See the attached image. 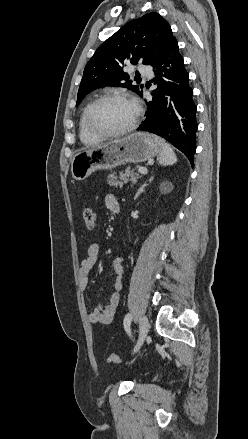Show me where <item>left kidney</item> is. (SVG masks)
Instances as JSON below:
<instances>
[{
  "instance_id": "1",
  "label": "left kidney",
  "mask_w": 248,
  "mask_h": 439,
  "mask_svg": "<svg viewBox=\"0 0 248 439\" xmlns=\"http://www.w3.org/2000/svg\"><path fill=\"white\" fill-rule=\"evenodd\" d=\"M171 188H172V185H171V183H169V182H165V183H162V184L160 185V191H161L162 193H168V192H170Z\"/></svg>"
}]
</instances>
